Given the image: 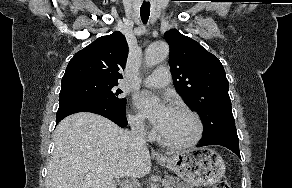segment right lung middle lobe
I'll use <instances>...</instances> for the list:
<instances>
[{
    "label": "right lung middle lobe",
    "instance_id": "obj_1",
    "mask_svg": "<svg viewBox=\"0 0 292 188\" xmlns=\"http://www.w3.org/2000/svg\"><path fill=\"white\" fill-rule=\"evenodd\" d=\"M117 82L79 77L62 80L59 99L63 97H81L111 110H125L126 98L121 97L122 90Z\"/></svg>",
    "mask_w": 292,
    "mask_h": 188
}]
</instances>
